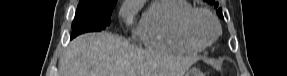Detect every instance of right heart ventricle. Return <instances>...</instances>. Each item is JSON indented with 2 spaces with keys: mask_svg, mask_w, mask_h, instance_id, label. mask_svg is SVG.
Listing matches in <instances>:
<instances>
[{
  "mask_svg": "<svg viewBox=\"0 0 287 76\" xmlns=\"http://www.w3.org/2000/svg\"><path fill=\"white\" fill-rule=\"evenodd\" d=\"M193 9L186 0L155 1L136 29L137 39L147 48L172 53H197L203 48L192 43L183 30L185 15Z\"/></svg>",
  "mask_w": 287,
  "mask_h": 76,
  "instance_id": "obj_1",
  "label": "right heart ventricle"
}]
</instances>
